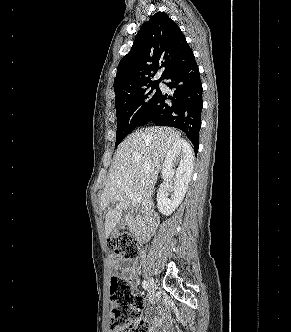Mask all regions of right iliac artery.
<instances>
[{
	"instance_id": "1",
	"label": "right iliac artery",
	"mask_w": 291,
	"mask_h": 332,
	"mask_svg": "<svg viewBox=\"0 0 291 332\" xmlns=\"http://www.w3.org/2000/svg\"><path fill=\"white\" fill-rule=\"evenodd\" d=\"M142 285H143V288L145 289V290H147V288H148V283H147V281H143V283H142Z\"/></svg>"
}]
</instances>
